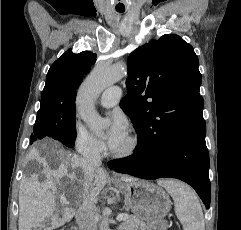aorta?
Masks as SVG:
<instances>
[{"label":"aorta","instance_id":"1","mask_svg":"<svg viewBox=\"0 0 241 230\" xmlns=\"http://www.w3.org/2000/svg\"><path fill=\"white\" fill-rule=\"evenodd\" d=\"M127 74L124 63L111 66L96 67L85 79L77 96V109L81 119L97 135L101 134L108 121L101 118L95 110V101L98 96L109 86L119 82ZM110 209L103 213L99 230H110Z\"/></svg>","mask_w":241,"mask_h":230}]
</instances>
